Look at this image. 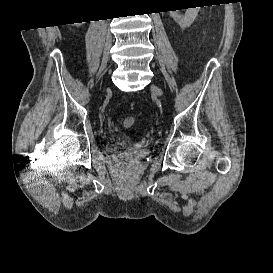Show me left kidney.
<instances>
[{"instance_id": "left-kidney-1", "label": "left kidney", "mask_w": 273, "mask_h": 273, "mask_svg": "<svg viewBox=\"0 0 273 273\" xmlns=\"http://www.w3.org/2000/svg\"><path fill=\"white\" fill-rule=\"evenodd\" d=\"M200 7L196 8H188L186 9L185 14H181L179 10L169 11L170 16L174 19V21L181 27L187 28L189 27L199 12Z\"/></svg>"}]
</instances>
